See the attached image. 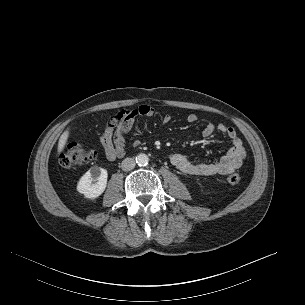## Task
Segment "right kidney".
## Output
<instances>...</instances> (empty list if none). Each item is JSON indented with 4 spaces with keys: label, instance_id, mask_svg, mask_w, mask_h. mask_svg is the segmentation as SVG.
Wrapping results in <instances>:
<instances>
[{
    "label": "right kidney",
    "instance_id": "obj_1",
    "mask_svg": "<svg viewBox=\"0 0 305 305\" xmlns=\"http://www.w3.org/2000/svg\"><path fill=\"white\" fill-rule=\"evenodd\" d=\"M107 177L106 169L93 166L79 180L77 191L88 199H95L105 191Z\"/></svg>",
    "mask_w": 305,
    "mask_h": 305
}]
</instances>
